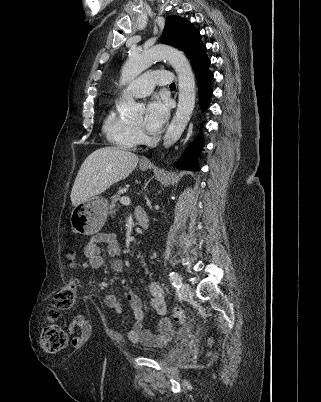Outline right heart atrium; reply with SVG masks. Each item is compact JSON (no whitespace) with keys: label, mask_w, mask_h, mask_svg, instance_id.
<instances>
[{"label":"right heart atrium","mask_w":321,"mask_h":402,"mask_svg":"<svg viewBox=\"0 0 321 402\" xmlns=\"http://www.w3.org/2000/svg\"><path fill=\"white\" fill-rule=\"evenodd\" d=\"M135 132H136V136H137L139 142H143L144 134H143L142 130L140 128H135Z\"/></svg>","instance_id":"right-heart-atrium-1"}]
</instances>
